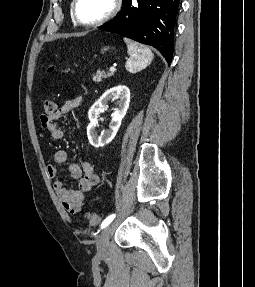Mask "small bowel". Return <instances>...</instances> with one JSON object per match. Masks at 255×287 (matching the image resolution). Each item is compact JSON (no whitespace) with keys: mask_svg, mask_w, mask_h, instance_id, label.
<instances>
[{"mask_svg":"<svg viewBox=\"0 0 255 287\" xmlns=\"http://www.w3.org/2000/svg\"><path fill=\"white\" fill-rule=\"evenodd\" d=\"M81 97H76L66 101L55 113L41 116L42 127L48 132L53 140H61L64 137V131L58 124V120L68 116L81 104ZM68 160L66 150H57L54 153V162L47 166V174L55 178L59 174L58 166ZM70 176L76 180V187L69 189L61 180H56L53 184L54 191L60 201L63 210L71 215L79 214L86 202L85 194L90 192L94 186L99 183V176L91 163L82 161L80 163L70 164L68 167Z\"/></svg>","mask_w":255,"mask_h":287,"instance_id":"1","label":"small bowel"}]
</instances>
